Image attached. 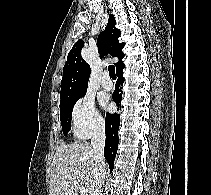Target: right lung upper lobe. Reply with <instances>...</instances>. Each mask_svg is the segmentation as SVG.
<instances>
[{"instance_id": "right-lung-upper-lobe-1", "label": "right lung upper lobe", "mask_w": 211, "mask_h": 195, "mask_svg": "<svg viewBox=\"0 0 211 195\" xmlns=\"http://www.w3.org/2000/svg\"><path fill=\"white\" fill-rule=\"evenodd\" d=\"M115 25V18L113 15H110L105 30L98 36L97 44L101 56L110 54L119 59L115 64L116 71H119L125 67L122 62L124 43H119L120 30ZM83 46L84 41L78 40L67 56L61 81L60 103L82 97L86 93L90 67L81 56Z\"/></svg>"}]
</instances>
